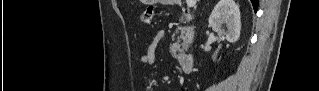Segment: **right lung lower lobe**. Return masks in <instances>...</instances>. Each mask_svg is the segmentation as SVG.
Here are the masks:
<instances>
[{"mask_svg": "<svg viewBox=\"0 0 319 91\" xmlns=\"http://www.w3.org/2000/svg\"><path fill=\"white\" fill-rule=\"evenodd\" d=\"M254 11L257 12L259 0H251Z\"/></svg>", "mask_w": 319, "mask_h": 91, "instance_id": "right-lung-lower-lobe-1", "label": "right lung lower lobe"}]
</instances>
